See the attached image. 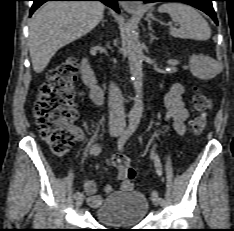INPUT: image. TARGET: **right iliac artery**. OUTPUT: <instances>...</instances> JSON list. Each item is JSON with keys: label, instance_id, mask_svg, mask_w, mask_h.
Returning a JSON list of instances; mask_svg holds the SVG:
<instances>
[{"label": "right iliac artery", "instance_id": "82829eb1", "mask_svg": "<svg viewBox=\"0 0 234 231\" xmlns=\"http://www.w3.org/2000/svg\"><path fill=\"white\" fill-rule=\"evenodd\" d=\"M101 151H102V147H101L100 145H95V146H93V147L91 148L90 154H91V155H94V156H97V155H99V154L101 153ZM80 195H82L80 192H76V193L74 194V198L76 199V198H78Z\"/></svg>", "mask_w": 234, "mask_h": 231}]
</instances>
